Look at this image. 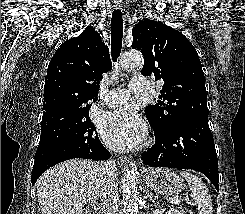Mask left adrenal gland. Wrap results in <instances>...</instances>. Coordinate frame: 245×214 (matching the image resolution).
<instances>
[{
    "mask_svg": "<svg viewBox=\"0 0 245 214\" xmlns=\"http://www.w3.org/2000/svg\"><path fill=\"white\" fill-rule=\"evenodd\" d=\"M144 193V198H149L153 203H156V198L153 196V194L151 192H149L147 187H144L143 190Z\"/></svg>",
    "mask_w": 245,
    "mask_h": 214,
    "instance_id": "obj_1",
    "label": "left adrenal gland"
}]
</instances>
